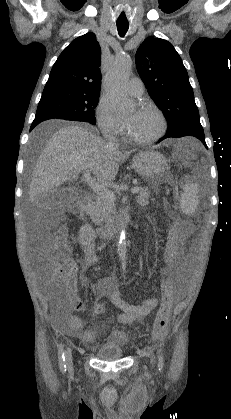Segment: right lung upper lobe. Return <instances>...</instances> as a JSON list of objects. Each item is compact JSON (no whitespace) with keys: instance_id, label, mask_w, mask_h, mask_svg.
I'll use <instances>...</instances> for the list:
<instances>
[{"instance_id":"cb5924a9","label":"right lung upper lobe","mask_w":231,"mask_h":419,"mask_svg":"<svg viewBox=\"0 0 231 419\" xmlns=\"http://www.w3.org/2000/svg\"><path fill=\"white\" fill-rule=\"evenodd\" d=\"M101 48L94 33L73 40L59 55L45 87H65L88 93L100 91Z\"/></svg>"}]
</instances>
